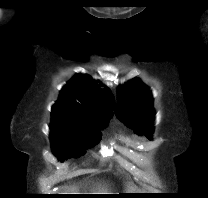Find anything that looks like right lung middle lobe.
Returning a JSON list of instances; mask_svg holds the SVG:
<instances>
[{
	"label": "right lung middle lobe",
	"mask_w": 208,
	"mask_h": 198,
	"mask_svg": "<svg viewBox=\"0 0 208 198\" xmlns=\"http://www.w3.org/2000/svg\"><path fill=\"white\" fill-rule=\"evenodd\" d=\"M109 119L88 121L76 117H52L50 140L59 159L83 155L101 139V130Z\"/></svg>",
	"instance_id": "obj_1"
}]
</instances>
